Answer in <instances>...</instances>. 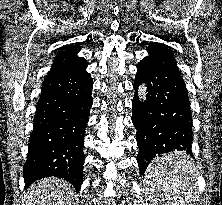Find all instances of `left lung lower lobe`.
Segmentation results:
<instances>
[{
    "label": "left lung lower lobe",
    "mask_w": 222,
    "mask_h": 205,
    "mask_svg": "<svg viewBox=\"0 0 222 205\" xmlns=\"http://www.w3.org/2000/svg\"><path fill=\"white\" fill-rule=\"evenodd\" d=\"M137 65L135 90L146 84V101L135 92L132 122L137 130V158L143 174L157 155L175 150L191 154L192 117L185 83L172 53L160 43L149 45Z\"/></svg>",
    "instance_id": "left-lung-lower-lobe-1"
}]
</instances>
